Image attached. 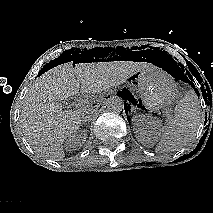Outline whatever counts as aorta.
Returning a JSON list of instances; mask_svg holds the SVG:
<instances>
[{
	"label": "aorta",
	"instance_id": "1",
	"mask_svg": "<svg viewBox=\"0 0 213 213\" xmlns=\"http://www.w3.org/2000/svg\"><path fill=\"white\" fill-rule=\"evenodd\" d=\"M106 107L108 111L118 114L124 108L123 100L118 96H111L106 101Z\"/></svg>",
	"mask_w": 213,
	"mask_h": 213
}]
</instances>
